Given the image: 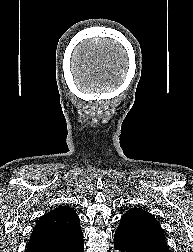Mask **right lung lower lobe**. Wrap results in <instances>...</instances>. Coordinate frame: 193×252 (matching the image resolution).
I'll return each instance as SVG.
<instances>
[{
  "instance_id": "98d812e1",
  "label": "right lung lower lobe",
  "mask_w": 193,
  "mask_h": 252,
  "mask_svg": "<svg viewBox=\"0 0 193 252\" xmlns=\"http://www.w3.org/2000/svg\"><path fill=\"white\" fill-rule=\"evenodd\" d=\"M37 252H84L83 233L59 246L40 249Z\"/></svg>"
}]
</instances>
